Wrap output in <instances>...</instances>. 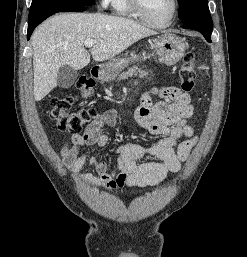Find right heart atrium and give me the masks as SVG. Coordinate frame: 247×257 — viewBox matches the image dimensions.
Wrapping results in <instances>:
<instances>
[{"label":"right heart atrium","instance_id":"d8ad5b80","mask_svg":"<svg viewBox=\"0 0 247 257\" xmlns=\"http://www.w3.org/2000/svg\"><path fill=\"white\" fill-rule=\"evenodd\" d=\"M102 9H106L110 6L111 0H98Z\"/></svg>","mask_w":247,"mask_h":257}]
</instances>
